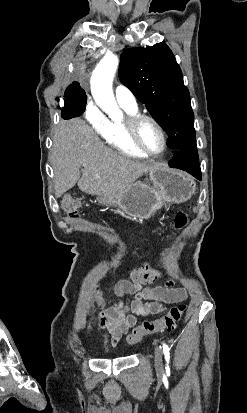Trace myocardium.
I'll use <instances>...</instances> for the list:
<instances>
[{
	"label": "myocardium",
	"instance_id": "myocardium-1",
	"mask_svg": "<svg viewBox=\"0 0 247 413\" xmlns=\"http://www.w3.org/2000/svg\"><path fill=\"white\" fill-rule=\"evenodd\" d=\"M142 122H148L152 124L161 133L162 138H163V147L159 152L149 151L142 145L139 139V135H138L139 127ZM129 136H130V139L133 145L139 151L144 153L147 157L159 159V158H162L167 152L168 145H169L167 133L165 129L161 126V124L158 121H156L154 118H152L151 116L144 115V114L133 115L129 121Z\"/></svg>",
	"mask_w": 247,
	"mask_h": 413
}]
</instances>
